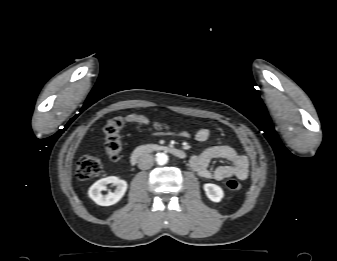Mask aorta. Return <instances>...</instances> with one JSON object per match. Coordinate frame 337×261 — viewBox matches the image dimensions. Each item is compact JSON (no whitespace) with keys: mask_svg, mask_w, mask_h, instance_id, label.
I'll list each match as a JSON object with an SVG mask.
<instances>
[{"mask_svg":"<svg viewBox=\"0 0 337 261\" xmlns=\"http://www.w3.org/2000/svg\"><path fill=\"white\" fill-rule=\"evenodd\" d=\"M155 159L158 165H165L168 162V156L165 153H158Z\"/></svg>","mask_w":337,"mask_h":261,"instance_id":"obj_1","label":"aorta"}]
</instances>
